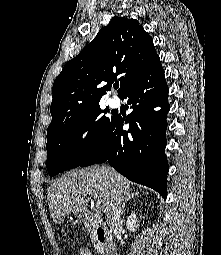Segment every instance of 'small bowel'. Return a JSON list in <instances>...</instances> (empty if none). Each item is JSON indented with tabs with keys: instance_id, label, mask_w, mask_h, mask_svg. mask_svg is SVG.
<instances>
[{
	"instance_id": "small-bowel-1",
	"label": "small bowel",
	"mask_w": 221,
	"mask_h": 255,
	"mask_svg": "<svg viewBox=\"0 0 221 255\" xmlns=\"http://www.w3.org/2000/svg\"><path fill=\"white\" fill-rule=\"evenodd\" d=\"M79 255H92V252L86 248V247H81L79 249V252H78Z\"/></svg>"
}]
</instances>
